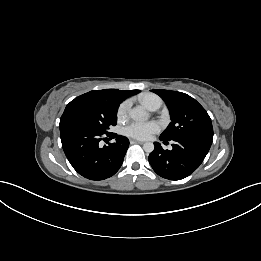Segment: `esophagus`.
<instances>
[{"mask_svg": "<svg viewBox=\"0 0 261 261\" xmlns=\"http://www.w3.org/2000/svg\"><path fill=\"white\" fill-rule=\"evenodd\" d=\"M131 144H143V141H138V140H130Z\"/></svg>", "mask_w": 261, "mask_h": 261, "instance_id": "obj_1", "label": "esophagus"}]
</instances>
